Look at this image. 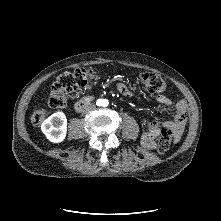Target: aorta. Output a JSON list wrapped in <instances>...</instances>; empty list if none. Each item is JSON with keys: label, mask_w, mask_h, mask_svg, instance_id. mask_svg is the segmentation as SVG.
I'll return each mask as SVG.
<instances>
[{"label": "aorta", "mask_w": 221, "mask_h": 221, "mask_svg": "<svg viewBox=\"0 0 221 221\" xmlns=\"http://www.w3.org/2000/svg\"><path fill=\"white\" fill-rule=\"evenodd\" d=\"M103 102H104V100H99L98 101L99 105H101V106L103 105Z\"/></svg>", "instance_id": "aorta-1"}]
</instances>
